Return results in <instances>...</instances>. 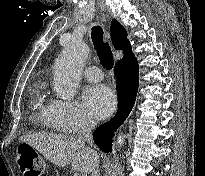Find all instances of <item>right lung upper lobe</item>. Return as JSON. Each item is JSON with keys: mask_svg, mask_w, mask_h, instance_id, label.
Instances as JSON below:
<instances>
[{"mask_svg": "<svg viewBox=\"0 0 205 176\" xmlns=\"http://www.w3.org/2000/svg\"><path fill=\"white\" fill-rule=\"evenodd\" d=\"M111 37L112 43L116 49H122L124 51V58L120 61L127 60L134 56L132 54L131 45L127 39V32L124 27L117 21L111 22Z\"/></svg>", "mask_w": 205, "mask_h": 176, "instance_id": "cb5924a9", "label": "right lung upper lobe"}]
</instances>
